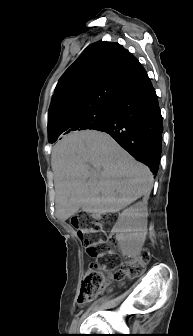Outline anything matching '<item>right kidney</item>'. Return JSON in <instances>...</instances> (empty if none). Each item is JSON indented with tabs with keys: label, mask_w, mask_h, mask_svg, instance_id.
Segmentation results:
<instances>
[{
	"label": "right kidney",
	"mask_w": 193,
	"mask_h": 336,
	"mask_svg": "<svg viewBox=\"0 0 193 336\" xmlns=\"http://www.w3.org/2000/svg\"><path fill=\"white\" fill-rule=\"evenodd\" d=\"M147 202H137L119 214L116 240L123 254L134 255L142 249L147 235Z\"/></svg>",
	"instance_id": "1"
}]
</instances>
